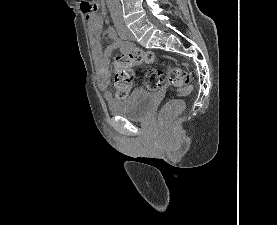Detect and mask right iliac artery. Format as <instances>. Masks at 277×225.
Instances as JSON below:
<instances>
[{"mask_svg": "<svg viewBox=\"0 0 277 225\" xmlns=\"http://www.w3.org/2000/svg\"><path fill=\"white\" fill-rule=\"evenodd\" d=\"M115 27L117 30L118 35L122 38V39H127L124 33V28H123V22L120 20H117L115 22Z\"/></svg>", "mask_w": 277, "mask_h": 225, "instance_id": "right-iliac-artery-1", "label": "right iliac artery"}]
</instances>
